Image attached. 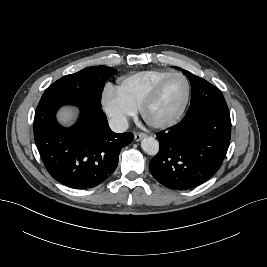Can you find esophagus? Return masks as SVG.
I'll return each mask as SVG.
<instances>
[{
  "mask_svg": "<svg viewBox=\"0 0 267 267\" xmlns=\"http://www.w3.org/2000/svg\"><path fill=\"white\" fill-rule=\"evenodd\" d=\"M144 136H145L144 133H136V134L134 135V139H135V141H140L141 139L144 138Z\"/></svg>",
  "mask_w": 267,
  "mask_h": 267,
  "instance_id": "1",
  "label": "esophagus"
}]
</instances>
